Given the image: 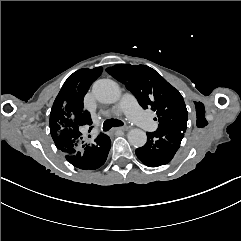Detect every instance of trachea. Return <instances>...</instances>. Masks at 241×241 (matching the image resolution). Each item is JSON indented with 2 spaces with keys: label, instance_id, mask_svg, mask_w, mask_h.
Segmentation results:
<instances>
[{
  "label": "trachea",
  "instance_id": "3493384b",
  "mask_svg": "<svg viewBox=\"0 0 241 241\" xmlns=\"http://www.w3.org/2000/svg\"><path fill=\"white\" fill-rule=\"evenodd\" d=\"M123 125L122 121L120 120H117V119H113V118H110V119H106L104 121V124H103V130L104 131H108L110 130L112 127H117V126H121Z\"/></svg>",
  "mask_w": 241,
  "mask_h": 241
}]
</instances>
